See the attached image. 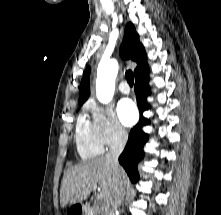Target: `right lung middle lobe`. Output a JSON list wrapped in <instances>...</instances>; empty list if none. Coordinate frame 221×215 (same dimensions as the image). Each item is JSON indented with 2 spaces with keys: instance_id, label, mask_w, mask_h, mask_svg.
<instances>
[{
  "instance_id": "dd1d6c3e",
  "label": "right lung middle lobe",
  "mask_w": 221,
  "mask_h": 215,
  "mask_svg": "<svg viewBox=\"0 0 221 215\" xmlns=\"http://www.w3.org/2000/svg\"><path fill=\"white\" fill-rule=\"evenodd\" d=\"M83 103H79V106H81Z\"/></svg>"
}]
</instances>
